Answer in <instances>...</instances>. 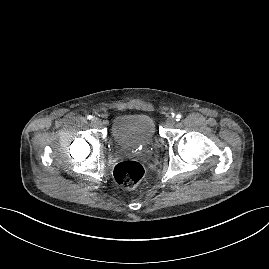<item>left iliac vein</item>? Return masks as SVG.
<instances>
[{"label": "left iliac vein", "instance_id": "obj_1", "mask_svg": "<svg viewBox=\"0 0 269 269\" xmlns=\"http://www.w3.org/2000/svg\"><path fill=\"white\" fill-rule=\"evenodd\" d=\"M175 123H176L175 118L170 117V118H168L167 121H166V126H167V127H172Z\"/></svg>", "mask_w": 269, "mask_h": 269}]
</instances>
